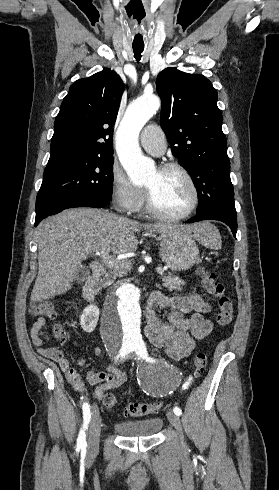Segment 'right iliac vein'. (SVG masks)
Returning <instances> with one entry per match:
<instances>
[{"label": "right iliac vein", "instance_id": "obj_1", "mask_svg": "<svg viewBox=\"0 0 279 490\" xmlns=\"http://www.w3.org/2000/svg\"><path fill=\"white\" fill-rule=\"evenodd\" d=\"M101 432V419L98 412L97 406L93 404L92 406V417L89 425L88 432V445H87V455L92 457L98 452L99 448V436Z\"/></svg>", "mask_w": 279, "mask_h": 490}]
</instances>
